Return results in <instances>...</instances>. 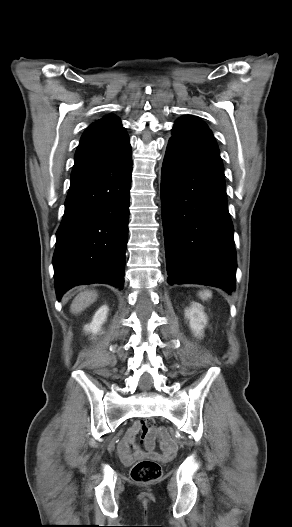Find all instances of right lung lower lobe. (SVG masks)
I'll list each match as a JSON object with an SVG mask.
<instances>
[{
  "label": "right lung lower lobe",
  "instance_id": "obj_1",
  "mask_svg": "<svg viewBox=\"0 0 292 527\" xmlns=\"http://www.w3.org/2000/svg\"><path fill=\"white\" fill-rule=\"evenodd\" d=\"M132 173L130 144L75 155L53 256L58 300L76 285H124Z\"/></svg>",
  "mask_w": 292,
  "mask_h": 527
}]
</instances>
